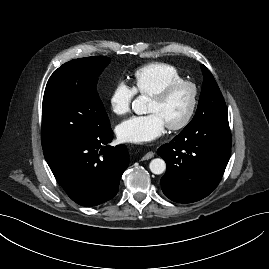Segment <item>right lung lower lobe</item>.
<instances>
[{
  "label": "right lung lower lobe",
  "mask_w": 269,
  "mask_h": 269,
  "mask_svg": "<svg viewBox=\"0 0 269 269\" xmlns=\"http://www.w3.org/2000/svg\"><path fill=\"white\" fill-rule=\"evenodd\" d=\"M112 139L109 127L98 135L44 151L57 182L79 205L96 206L117 194L129 154L125 145H107Z\"/></svg>",
  "instance_id": "obj_1"
}]
</instances>
